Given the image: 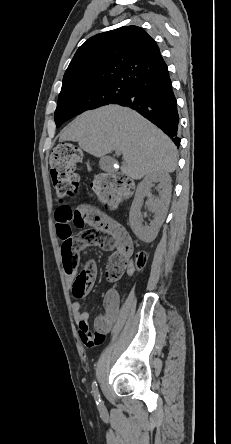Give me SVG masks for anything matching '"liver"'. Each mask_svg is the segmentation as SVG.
<instances>
[{
	"mask_svg": "<svg viewBox=\"0 0 231 444\" xmlns=\"http://www.w3.org/2000/svg\"><path fill=\"white\" fill-rule=\"evenodd\" d=\"M60 142H78L87 153L103 158L123 155L121 171L132 179L154 172H174L177 148L171 139L127 107L107 105L77 116L60 133Z\"/></svg>",
	"mask_w": 231,
	"mask_h": 444,
	"instance_id": "6515ba94",
	"label": "liver"
}]
</instances>
